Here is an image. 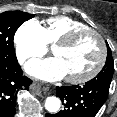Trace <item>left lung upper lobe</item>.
Wrapping results in <instances>:
<instances>
[{
  "instance_id": "left-lung-upper-lobe-1",
  "label": "left lung upper lobe",
  "mask_w": 117,
  "mask_h": 117,
  "mask_svg": "<svg viewBox=\"0 0 117 117\" xmlns=\"http://www.w3.org/2000/svg\"><path fill=\"white\" fill-rule=\"evenodd\" d=\"M107 52L108 53H107L105 66L103 67L101 72L94 79L90 81L109 89L114 73V61L112 58L111 49L108 44H107Z\"/></svg>"
}]
</instances>
